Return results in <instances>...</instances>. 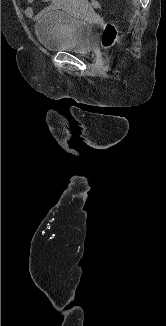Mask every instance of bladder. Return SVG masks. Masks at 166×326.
<instances>
[{
    "mask_svg": "<svg viewBox=\"0 0 166 326\" xmlns=\"http://www.w3.org/2000/svg\"><path fill=\"white\" fill-rule=\"evenodd\" d=\"M83 11H91L88 4L80 5ZM35 34L40 45L49 51H71L88 54L91 51L90 27L63 11H49L35 24Z\"/></svg>",
    "mask_w": 166,
    "mask_h": 326,
    "instance_id": "1",
    "label": "bladder"
}]
</instances>
